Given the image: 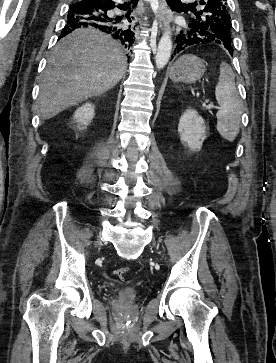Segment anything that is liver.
<instances>
[{"mask_svg":"<svg viewBox=\"0 0 276 363\" xmlns=\"http://www.w3.org/2000/svg\"><path fill=\"white\" fill-rule=\"evenodd\" d=\"M119 42L93 28H81L53 48L38 97L41 119L112 89L126 72Z\"/></svg>","mask_w":276,"mask_h":363,"instance_id":"liver-1","label":"liver"}]
</instances>
